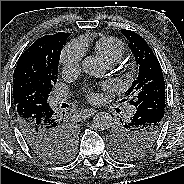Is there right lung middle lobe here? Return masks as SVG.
<instances>
[{"mask_svg":"<svg viewBox=\"0 0 184 184\" xmlns=\"http://www.w3.org/2000/svg\"><path fill=\"white\" fill-rule=\"evenodd\" d=\"M63 44L56 42L49 59L28 60L14 71L13 98L14 104H45L49 93L58 79V64ZM62 141L49 150L36 154L46 162L57 163L71 156L75 148L76 131L74 127L64 129Z\"/></svg>","mask_w":184,"mask_h":184,"instance_id":"1","label":"right lung middle lobe"}]
</instances>
